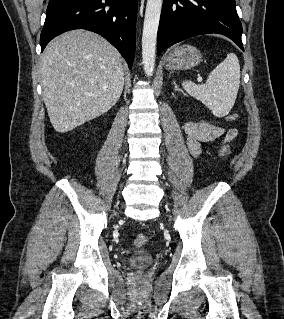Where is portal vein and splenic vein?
<instances>
[{
  "mask_svg": "<svg viewBox=\"0 0 284 319\" xmlns=\"http://www.w3.org/2000/svg\"><path fill=\"white\" fill-rule=\"evenodd\" d=\"M198 82H202V77L197 78Z\"/></svg>",
  "mask_w": 284,
  "mask_h": 319,
  "instance_id": "1",
  "label": "portal vein and splenic vein"
}]
</instances>
